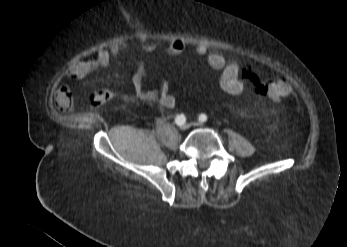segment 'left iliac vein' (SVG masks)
Masks as SVG:
<instances>
[{
	"instance_id": "obj_1",
	"label": "left iliac vein",
	"mask_w": 347,
	"mask_h": 247,
	"mask_svg": "<svg viewBox=\"0 0 347 247\" xmlns=\"http://www.w3.org/2000/svg\"><path fill=\"white\" fill-rule=\"evenodd\" d=\"M193 126H196V127H201L202 126V123L200 122H194L192 123Z\"/></svg>"
}]
</instances>
